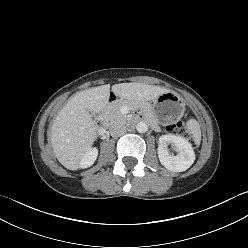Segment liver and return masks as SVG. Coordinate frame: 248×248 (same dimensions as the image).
I'll return each mask as SVG.
<instances>
[{
	"instance_id": "obj_1",
	"label": "liver",
	"mask_w": 248,
	"mask_h": 248,
	"mask_svg": "<svg viewBox=\"0 0 248 248\" xmlns=\"http://www.w3.org/2000/svg\"><path fill=\"white\" fill-rule=\"evenodd\" d=\"M168 90L143 83H121L112 92L128 102L154 100ZM110 85L86 89L74 95L60 110L51 129V144L55 157L69 170L80 163L97 138V128L89 112L100 113L108 104Z\"/></svg>"
}]
</instances>
